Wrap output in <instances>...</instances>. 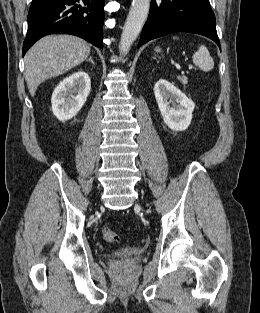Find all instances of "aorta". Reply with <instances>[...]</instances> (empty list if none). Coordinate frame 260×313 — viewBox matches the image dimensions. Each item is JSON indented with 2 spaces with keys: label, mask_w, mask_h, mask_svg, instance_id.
<instances>
[{
  "label": "aorta",
  "mask_w": 260,
  "mask_h": 313,
  "mask_svg": "<svg viewBox=\"0 0 260 313\" xmlns=\"http://www.w3.org/2000/svg\"><path fill=\"white\" fill-rule=\"evenodd\" d=\"M150 0H133L132 5L123 27L120 53L126 55L131 45L138 37L149 13Z\"/></svg>",
  "instance_id": "aorta-1"
}]
</instances>
